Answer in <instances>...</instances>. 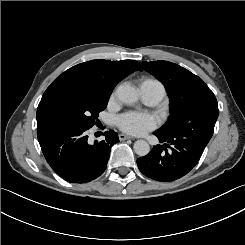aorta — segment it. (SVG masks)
<instances>
[{
	"label": "aorta",
	"instance_id": "1",
	"mask_svg": "<svg viewBox=\"0 0 245 245\" xmlns=\"http://www.w3.org/2000/svg\"><path fill=\"white\" fill-rule=\"evenodd\" d=\"M117 98L125 104H133L138 100L135 89L129 85L121 84L116 90ZM134 151L139 156H146L150 151V146L145 140H137L134 143Z\"/></svg>",
	"mask_w": 245,
	"mask_h": 245
}]
</instances>
